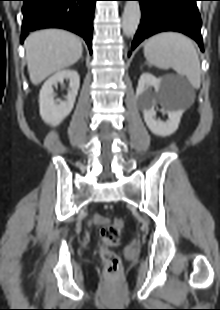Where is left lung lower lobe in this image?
<instances>
[{"label": "left lung lower lobe", "instance_id": "0a47b994", "mask_svg": "<svg viewBox=\"0 0 220 310\" xmlns=\"http://www.w3.org/2000/svg\"><path fill=\"white\" fill-rule=\"evenodd\" d=\"M142 19L132 43L135 49L144 39L164 31L181 32L194 39L201 51V17L197 0H137Z\"/></svg>", "mask_w": 220, "mask_h": 310}]
</instances>
